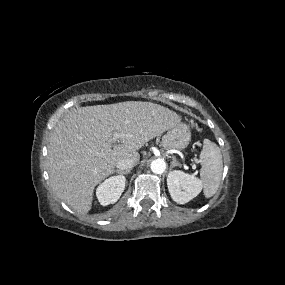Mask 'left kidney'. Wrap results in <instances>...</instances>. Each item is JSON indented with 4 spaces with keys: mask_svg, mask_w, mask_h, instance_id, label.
<instances>
[{
    "mask_svg": "<svg viewBox=\"0 0 285 285\" xmlns=\"http://www.w3.org/2000/svg\"><path fill=\"white\" fill-rule=\"evenodd\" d=\"M167 185L172 199L179 204L189 202L202 189V183L198 178L179 170L169 172Z\"/></svg>",
    "mask_w": 285,
    "mask_h": 285,
    "instance_id": "1",
    "label": "left kidney"
}]
</instances>
